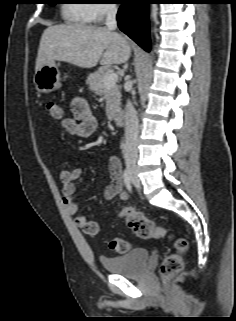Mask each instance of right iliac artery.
Listing matches in <instances>:
<instances>
[{"label": "right iliac artery", "instance_id": "1", "mask_svg": "<svg viewBox=\"0 0 236 321\" xmlns=\"http://www.w3.org/2000/svg\"><path fill=\"white\" fill-rule=\"evenodd\" d=\"M123 179L124 183L127 187V189L131 192L132 186H131V175L128 169H125L123 171Z\"/></svg>", "mask_w": 236, "mask_h": 321}]
</instances>
